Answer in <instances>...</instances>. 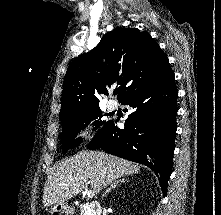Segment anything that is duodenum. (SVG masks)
<instances>
[{
	"mask_svg": "<svg viewBox=\"0 0 221 215\" xmlns=\"http://www.w3.org/2000/svg\"><path fill=\"white\" fill-rule=\"evenodd\" d=\"M86 208L91 212L93 215H100L101 209L100 205L96 202H88L86 204Z\"/></svg>",
	"mask_w": 221,
	"mask_h": 215,
	"instance_id": "1",
	"label": "duodenum"
}]
</instances>
